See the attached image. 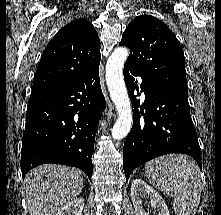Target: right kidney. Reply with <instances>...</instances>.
<instances>
[{"label": "right kidney", "mask_w": 221, "mask_h": 215, "mask_svg": "<svg viewBox=\"0 0 221 215\" xmlns=\"http://www.w3.org/2000/svg\"><path fill=\"white\" fill-rule=\"evenodd\" d=\"M85 200L82 197L75 198L66 204L56 215H81Z\"/></svg>", "instance_id": "obj_1"}]
</instances>
